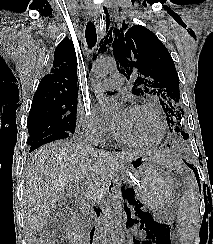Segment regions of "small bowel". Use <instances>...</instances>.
<instances>
[{"mask_svg": "<svg viewBox=\"0 0 213 244\" xmlns=\"http://www.w3.org/2000/svg\"><path fill=\"white\" fill-rule=\"evenodd\" d=\"M145 244H158L156 240L150 241V242H145Z\"/></svg>", "mask_w": 213, "mask_h": 244, "instance_id": "small-bowel-1", "label": "small bowel"}]
</instances>
